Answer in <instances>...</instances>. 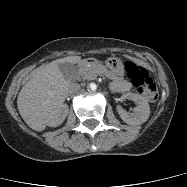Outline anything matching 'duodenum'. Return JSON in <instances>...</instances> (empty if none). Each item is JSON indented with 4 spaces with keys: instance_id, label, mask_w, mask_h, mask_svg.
<instances>
[{
    "instance_id": "1",
    "label": "duodenum",
    "mask_w": 187,
    "mask_h": 187,
    "mask_svg": "<svg viewBox=\"0 0 187 187\" xmlns=\"http://www.w3.org/2000/svg\"><path fill=\"white\" fill-rule=\"evenodd\" d=\"M89 59H82V60H80V61H78V63H77V67H81V66H83V65H85V64H87V63H89Z\"/></svg>"
}]
</instances>
